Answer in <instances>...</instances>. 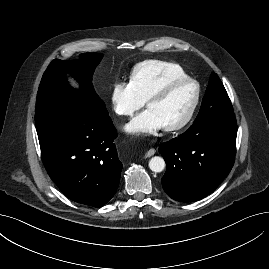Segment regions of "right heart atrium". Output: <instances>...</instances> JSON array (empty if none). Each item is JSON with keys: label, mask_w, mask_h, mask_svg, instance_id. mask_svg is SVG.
<instances>
[{"label": "right heart atrium", "mask_w": 269, "mask_h": 269, "mask_svg": "<svg viewBox=\"0 0 269 269\" xmlns=\"http://www.w3.org/2000/svg\"><path fill=\"white\" fill-rule=\"evenodd\" d=\"M110 103L114 113L120 117H130L144 105L131 82L122 80L113 84Z\"/></svg>", "instance_id": "right-heart-atrium-1"}]
</instances>
